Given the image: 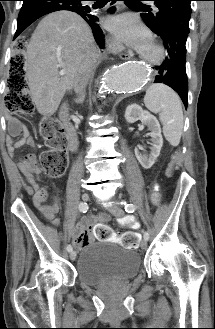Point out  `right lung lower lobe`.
<instances>
[{"label":"right lung lower lobe","mask_w":215,"mask_h":329,"mask_svg":"<svg viewBox=\"0 0 215 329\" xmlns=\"http://www.w3.org/2000/svg\"><path fill=\"white\" fill-rule=\"evenodd\" d=\"M23 5L18 15L17 30L14 39L24 31L31 23L36 19L59 10H68L80 15L91 27L94 38L97 44L104 47V35L102 29L98 25V18L93 15L92 9L84 5V0H22ZM115 10L114 7L110 9V12ZM14 72L19 73L22 64L18 60L13 59L11 61Z\"/></svg>","instance_id":"right-lung-lower-lobe-1"}]
</instances>
